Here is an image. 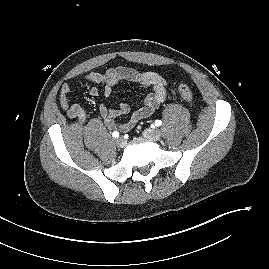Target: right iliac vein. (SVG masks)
<instances>
[{
  "instance_id": "63e3f726",
  "label": "right iliac vein",
  "mask_w": 269,
  "mask_h": 269,
  "mask_svg": "<svg viewBox=\"0 0 269 269\" xmlns=\"http://www.w3.org/2000/svg\"><path fill=\"white\" fill-rule=\"evenodd\" d=\"M115 143L118 147H121V148H124L126 146V141L124 140V138L122 137H118L116 140H115Z\"/></svg>"
}]
</instances>
